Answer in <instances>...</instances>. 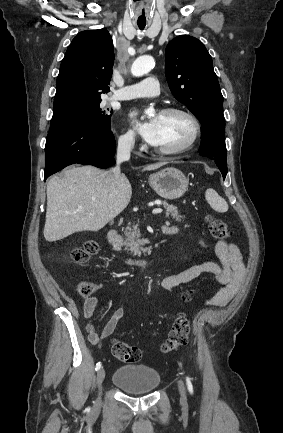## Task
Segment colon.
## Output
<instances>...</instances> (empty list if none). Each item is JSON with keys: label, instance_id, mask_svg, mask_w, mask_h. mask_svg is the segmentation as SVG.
I'll return each instance as SVG.
<instances>
[{"label": "colon", "instance_id": "5ec220e1", "mask_svg": "<svg viewBox=\"0 0 283 433\" xmlns=\"http://www.w3.org/2000/svg\"><path fill=\"white\" fill-rule=\"evenodd\" d=\"M207 226L211 236L215 239H227L231 235L229 225L222 219L215 216L207 217ZM99 249L96 241H87L83 246L75 249L72 257L76 262L84 263L91 259ZM95 287L92 283L83 282L79 286V293L83 297H89ZM191 291L183 294V299H191ZM190 323L184 313L178 314L172 324L167 340L162 345L163 352H171L185 345L188 341ZM113 356L123 362H135L141 357V350L138 347L129 345L123 341L114 340L111 345Z\"/></svg>", "mask_w": 283, "mask_h": 433}]
</instances>
